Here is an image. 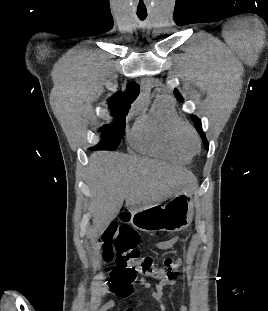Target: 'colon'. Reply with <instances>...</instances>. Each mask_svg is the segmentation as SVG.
<instances>
[{
  "label": "colon",
  "mask_w": 268,
  "mask_h": 311,
  "mask_svg": "<svg viewBox=\"0 0 268 311\" xmlns=\"http://www.w3.org/2000/svg\"><path fill=\"white\" fill-rule=\"evenodd\" d=\"M103 258L116 266L109 274V287L118 296L127 297L134 292L137 276L174 278L182 265L181 259L166 258L160 267L150 255H141L139 235L128 226L111 223L103 232Z\"/></svg>",
  "instance_id": "5ec220e1"
}]
</instances>
